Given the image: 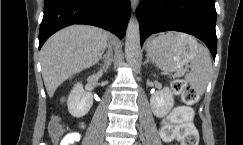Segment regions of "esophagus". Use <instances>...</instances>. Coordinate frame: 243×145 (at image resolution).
Segmentation results:
<instances>
[{"label": "esophagus", "instance_id": "1", "mask_svg": "<svg viewBox=\"0 0 243 145\" xmlns=\"http://www.w3.org/2000/svg\"><path fill=\"white\" fill-rule=\"evenodd\" d=\"M131 5H132L133 10H135L138 5V0H131Z\"/></svg>", "mask_w": 243, "mask_h": 145}]
</instances>
